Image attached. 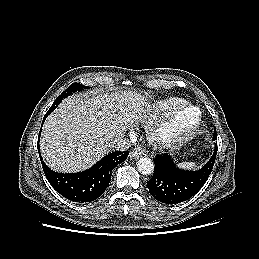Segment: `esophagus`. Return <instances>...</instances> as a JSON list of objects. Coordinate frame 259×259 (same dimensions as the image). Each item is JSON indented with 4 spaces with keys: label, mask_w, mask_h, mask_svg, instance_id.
I'll return each mask as SVG.
<instances>
[{
    "label": "esophagus",
    "mask_w": 259,
    "mask_h": 259,
    "mask_svg": "<svg viewBox=\"0 0 259 259\" xmlns=\"http://www.w3.org/2000/svg\"><path fill=\"white\" fill-rule=\"evenodd\" d=\"M144 155V151L141 148H135L130 151L129 158L130 159H138L139 157Z\"/></svg>",
    "instance_id": "obj_1"
}]
</instances>
